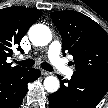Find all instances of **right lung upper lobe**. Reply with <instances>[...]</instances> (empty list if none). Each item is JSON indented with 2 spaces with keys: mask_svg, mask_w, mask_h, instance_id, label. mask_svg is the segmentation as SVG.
I'll return each instance as SVG.
<instances>
[{
  "mask_svg": "<svg viewBox=\"0 0 108 108\" xmlns=\"http://www.w3.org/2000/svg\"><path fill=\"white\" fill-rule=\"evenodd\" d=\"M42 15V12L33 8L8 7L0 10V77L12 75L26 68L12 67L7 63L14 46L23 53L20 41L29 27Z\"/></svg>",
  "mask_w": 108,
  "mask_h": 108,
  "instance_id": "1",
  "label": "right lung upper lobe"
}]
</instances>
